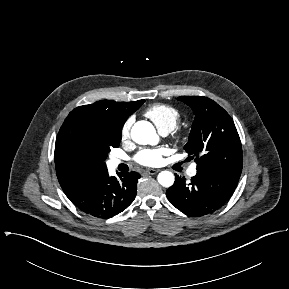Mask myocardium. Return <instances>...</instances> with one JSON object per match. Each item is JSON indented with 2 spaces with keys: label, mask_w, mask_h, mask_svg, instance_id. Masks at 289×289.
<instances>
[{
  "label": "myocardium",
  "mask_w": 289,
  "mask_h": 289,
  "mask_svg": "<svg viewBox=\"0 0 289 289\" xmlns=\"http://www.w3.org/2000/svg\"><path fill=\"white\" fill-rule=\"evenodd\" d=\"M189 131L186 128L177 127L173 130V139L178 144H184L188 141Z\"/></svg>",
  "instance_id": "myocardium-1"
}]
</instances>
